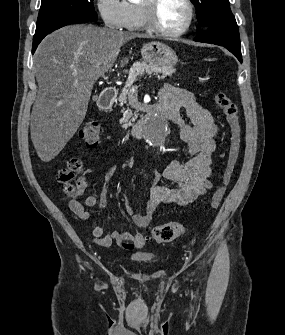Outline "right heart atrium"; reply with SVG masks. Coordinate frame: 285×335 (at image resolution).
I'll list each match as a JSON object with an SVG mask.
<instances>
[{
    "mask_svg": "<svg viewBox=\"0 0 285 335\" xmlns=\"http://www.w3.org/2000/svg\"><path fill=\"white\" fill-rule=\"evenodd\" d=\"M102 20L110 29L121 30L131 18V9L126 1H100Z\"/></svg>",
    "mask_w": 285,
    "mask_h": 335,
    "instance_id": "obj_1",
    "label": "right heart atrium"
}]
</instances>
